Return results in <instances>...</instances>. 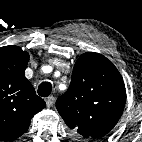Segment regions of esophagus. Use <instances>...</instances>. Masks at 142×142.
Returning a JSON list of instances; mask_svg holds the SVG:
<instances>
[{"label":"esophagus","instance_id":"1","mask_svg":"<svg viewBox=\"0 0 142 142\" xmlns=\"http://www.w3.org/2000/svg\"><path fill=\"white\" fill-rule=\"evenodd\" d=\"M54 103V96H49L47 99H46V105L47 107H51Z\"/></svg>","mask_w":142,"mask_h":142}]
</instances>
